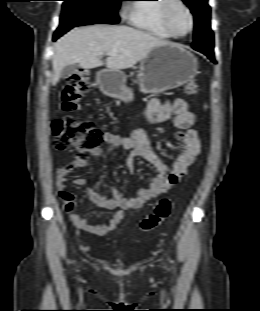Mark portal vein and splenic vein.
Returning <instances> with one entry per match:
<instances>
[{"instance_id":"1","label":"portal vein and splenic vein","mask_w":260,"mask_h":311,"mask_svg":"<svg viewBox=\"0 0 260 311\" xmlns=\"http://www.w3.org/2000/svg\"><path fill=\"white\" fill-rule=\"evenodd\" d=\"M101 55H102V54H101ZM108 55H110V56H116L115 53H109Z\"/></svg>"}]
</instances>
